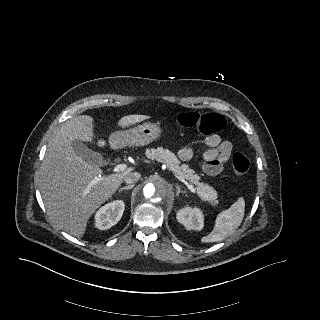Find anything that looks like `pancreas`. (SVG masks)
Listing matches in <instances>:
<instances>
[{"label":"pancreas","instance_id":"cf45deb5","mask_svg":"<svg viewBox=\"0 0 320 320\" xmlns=\"http://www.w3.org/2000/svg\"><path fill=\"white\" fill-rule=\"evenodd\" d=\"M146 156L149 159L164 163L169 171L195 184L198 196L205 202H209L212 206L218 204L216 190L208 184L200 183V178L195 174V171L186 164H180V160L170 150L162 147L151 148L146 150Z\"/></svg>","mask_w":320,"mask_h":320}]
</instances>
